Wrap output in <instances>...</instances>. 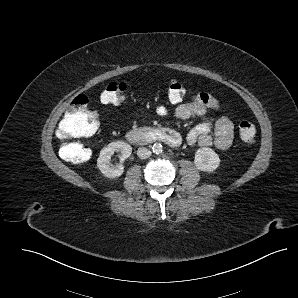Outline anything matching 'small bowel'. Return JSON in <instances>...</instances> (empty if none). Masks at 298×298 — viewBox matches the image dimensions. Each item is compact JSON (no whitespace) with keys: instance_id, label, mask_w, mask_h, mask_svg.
I'll use <instances>...</instances> for the list:
<instances>
[{"instance_id":"small-bowel-1","label":"small bowel","mask_w":298,"mask_h":298,"mask_svg":"<svg viewBox=\"0 0 298 298\" xmlns=\"http://www.w3.org/2000/svg\"><path fill=\"white\" fill-rule=\"evenodd\" d=\"M218 101L207 93H199L191 100L179 103L173 110L164 105L155 108L159 116L172 115L177 119H188L193 116L205 115L209 110H218ZM213 129V132H212ZM233 124L226 115L220 116L214 123L203 121L192 128L187 134L189 144L198 143L200 146H215L218 149H228L233 141Z\"/></svg>"}]
</instances>
